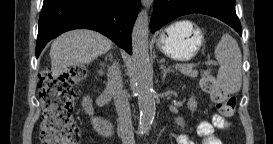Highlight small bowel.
<instances>
[{"mask_svg": "<svg viewBox=\"0 0 273 144\" xmlns=\"http://www.w3.org/2000/svg\"><path fill=\"white\" fill-rule=\"evenodd\" d=\"M229 127V123L219 114L214 113L211 121L201 120L197 124V134L202 139V144H221L219 130ZM178 144H193V142L185 135L179 134L176 137Z\"/></svg>", "mask_w": 273, "mask_h": 144, "instance_id": "c3829d8e", "label": "small bowel"}]
</instances>
